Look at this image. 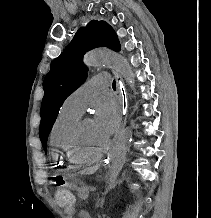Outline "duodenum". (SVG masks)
Instances as JSON below:
<instances>
[{
  "label": "duodenum",
  "instance_id": "410a0bca",
  "mask_svg": "<svg viewBox=\"0 0 211 218\" xmlns=\"http://www.w3.org/2000/svg\"><path fill=\"white\" fill-rule=\"evenodd\" d=\"M79 215L80 218H92L91 214L87 210H81Z\"/></svg>",
  "mask_w": 211,
  "mask_h": 218
}]
</instances>
